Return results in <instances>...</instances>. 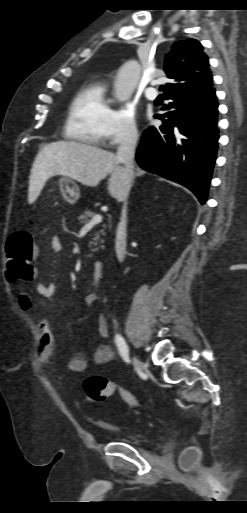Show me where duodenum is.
Returning a JSON list of instances; mask_svg holds the SVG:
<instances>
[{
    "mask_svg": "<svg viewBox=\"0 0 247 513\" xmlns=\"http://www.w3.org/2000/svg\"><path fill=\"white\" fill-rule=\"evenodd\" d=\"M105 270L104 262L102 261H96L93 266L92 271V281L93 282H99L103 278Z\"/></svg>",
    "mask_w": 247,
    "mask_h": 513,
    "instance_id": "1",
    "label": "duodenum"
}]
</instances>
